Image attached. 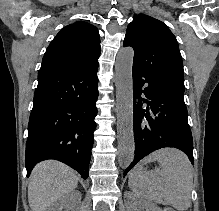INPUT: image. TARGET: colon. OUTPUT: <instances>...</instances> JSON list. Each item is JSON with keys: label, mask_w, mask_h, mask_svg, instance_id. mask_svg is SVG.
I'll return each mask as SVG.
<instances>
[{"label": "colon", "mask_w": 219, "mask_h": 211, "mask_svg": "<svg viewBox=\"0 0 219 211\" xmlns=\"http://www.w3.org/2000/svg\"><path fill=\"white\" fill-rule=\"evenodd\" d=\"M165 211H175V210L172 208H166Z\"/></svg>", "instance_id": "colon-1"}]
</instances>
